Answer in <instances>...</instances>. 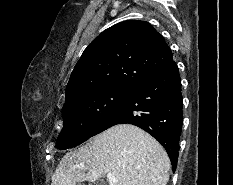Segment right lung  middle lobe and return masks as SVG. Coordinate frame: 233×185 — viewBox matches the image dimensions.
Returning <instances> with one entry per match:
<instances>
[{"mask_svg": "<svg viewBox=\"0 0 233 185\" xmlns=\"http://www.w3.org/2000/svg\"><path fill=\"white\" fill-rule=\"evenodd\" d=\"M130 89L106 88L81 95L63 107L64 127L59 149L75 147L91 136L101 122L125 99Z\"/></svg>", "mask_w": 233, "mask_h": 185, "instance_id": "obj_1", "label": "right lung middle lobe"}]
</instances>
